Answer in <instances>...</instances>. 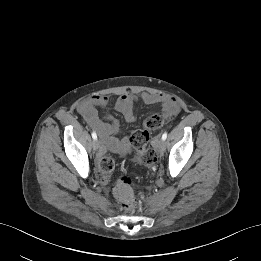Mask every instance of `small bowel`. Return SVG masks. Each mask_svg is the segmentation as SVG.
<instances>
[{"label":"small bowel","mask_w":261,"mask_h":261,"mask_svg":"<svg viewBox=\"0 0 261 261\" xmlns=\"http://www.w3.org/2000/svg\"><path fill=\"white\" fill-rule=\"evenodd\" d=\"M138 100L150 106L160 105L170 115L176 114L180 109L179 101L175 97L163 93H142L137 96L132 92L120 95L114 103V108L122 114L127 122L131 123L136 120L134 104ZM108 105L109 99L107 96L93 95L79 103L78 111L88 125L97 131L107 146L114 147L113 137L120 132V124L110 114H106L105 118H101L97 110L99 107L105 109Z\"/></svg>","instance_id":"obj_1"}]
</instances>
